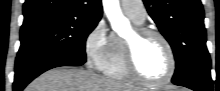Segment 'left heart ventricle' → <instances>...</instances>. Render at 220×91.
Masks as SVG:
<instances>
[{
    "mask_svg": "<svg viewBox=\"0 0 220 91\" xmlns=\"http://www.w3.org/2000/svg\"><path fill=\"white\" fill-rule=\"evenodd\" d=\"M132 35V31L127 37ZM136 63L141 74L150 80L163 78L169 70V57L163 43L156 37H147L136 43Z\"/></svg>",
    "mask_w": 220,
    "mask_h": 91,
    "instance_id": "left-heart-ventricle-1",
    "label": "left heart ventricle"
}]
</instances>
